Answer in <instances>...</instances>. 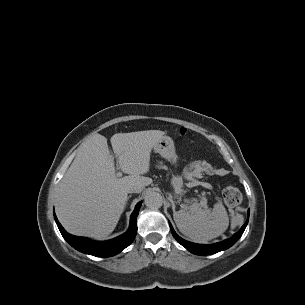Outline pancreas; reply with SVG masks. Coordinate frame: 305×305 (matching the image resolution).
<instances>
[{
  "mask_svg": "<svg viewBox=\"0 0 305 305\" xmlns=\"http://www.w3.org/2000/svg\"><path fill=\"white\" fill-rule=\"evenodd\" d=\"M159 169H165V170H167L168 168H167V166L166 165H163V163L162 162H160L159 164H158V166H157Z\"/></svg>",
  "mask_w": 305,
  "mask_h": 305,
  "instance_id": "1",
  "label": "pancreas"
}]
</instances>
